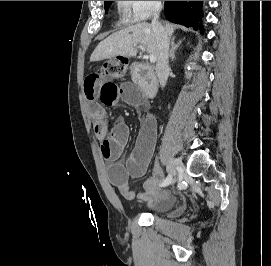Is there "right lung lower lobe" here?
<instances>
[{
	"label": "right lung lower lobe",
	"instance_id": "98d812e1",
	"mask_svg": "<svg viewBox=\"0 0 271 266\" xmlns=\"http://www.w3.org/2000/svg\"><path fill=\"white\" fill-rule=\"evenodd\" d=\"M201 7L202 1H165V16L171 22L203 32Z\"/></svg>",
	"mask_w": 271,
	"mask_h": 266
}]
</instances>
